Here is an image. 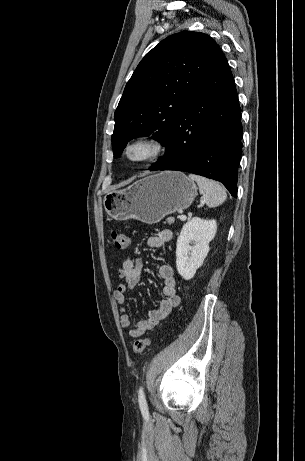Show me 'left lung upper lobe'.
<instances>
[{
	"label": "left lung upper lobe",
	"instance_id": "1",
	"mask_svg": "<svg viewBox=\"0 0 305 461\" xmlns=\"http://www.w3.org/2000/svg\"><path fill=\"white\" fill-rule=\"evenodd\" d=\"M222 51L207 34L182 31L149 51L126 84L115 111L114 157L128 141L152 135L164 146L173 121Z\"/></svg>",
	"mask_w": 305,
	"mask_h": 461
}]
</instances>
